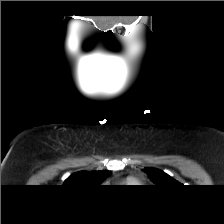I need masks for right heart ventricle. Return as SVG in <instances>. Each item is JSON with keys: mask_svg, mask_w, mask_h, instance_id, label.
<instances>
[{"mask_svg": "<svg viewBox=\"0 0 224 224\" xmlns=\"http://www.w3.org/2000/svg\"><path fill=\"white\" fill-rule=\"evenodd\" d=\"M128 184L134 185L135 184V180L134 179H129L127 180Z\"/></svg>", "mask_w": 224, "mask_h": 224, "instance_id": "right-heart-ventricle-1", "label": "right heart ventricle"}]
</instances>
